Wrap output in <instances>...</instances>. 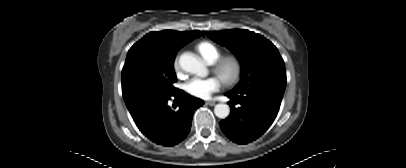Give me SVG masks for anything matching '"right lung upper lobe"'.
I'll use <instances>...</instances> for the list:
<instances>
[{"mask_svg":"<svg viewBox=\"0 0 406 168\" xmlns=\"http://www.w3.org/2000/svg\"><path fill=\"white\" fill-rule=\"evenodd\" d=\"M198 36H203V33L200 31L177 32L171 30L150 32L134 44L129 52L143 50L161 57H175L179 48Z\"/></svg>","mask_w":406,"mask_h":168,"instance_id":"obj_1","label":"right lung upper lobe"}]
</instances>
